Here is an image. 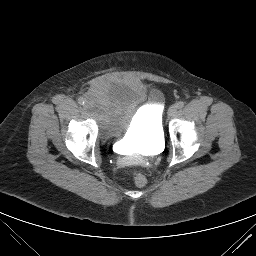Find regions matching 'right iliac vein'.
<instances>
[{
	"label": "right iliac vein",
	"instance_id": "63e3f726",
	"mask_svg": "<svg viewBox=\"0 0 256 256\" xmlns=\"http://www.w3.org/2000/svg\"><path fill=\"white\" fill-rule=\"evenodd\" d=\"M83 107H84L85 109H88V108L90 107V104H89L88 102H85V103L83 104Z\"/></svg>",
	"mask_w": 256,
	"mask_h": 256
}]
</instances>
